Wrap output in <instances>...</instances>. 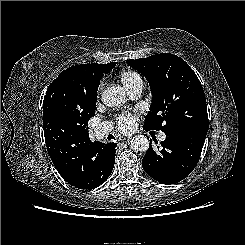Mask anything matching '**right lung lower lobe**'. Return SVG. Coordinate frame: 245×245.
Instances as JSON below:
<instances>
[{"label":"right lung lower lobe","instance_id":"98d812e1","mask_svg":"<svg viewBox=\"0 0 245 245\" xmlns=\"http://www.w3.org/2000/svg\"><path fill=\"white\" fill-rule=\"evenodd\" d=\"M49 156L62 178L71 186L94 189L110 176L116 143L91 142L89 134L73 141L45 140Z\"/></svg>","mask_w":245,"mask_h":245}]
</instances>
